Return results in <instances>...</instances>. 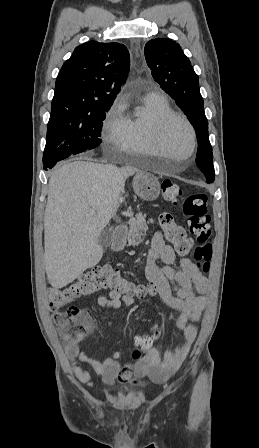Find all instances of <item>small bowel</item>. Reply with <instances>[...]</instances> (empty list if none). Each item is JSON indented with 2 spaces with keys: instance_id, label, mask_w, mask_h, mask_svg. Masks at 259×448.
I'll return each instance as SVG.
<instances>
[{
  "instance_id": "obj_1",
  "label": "small bowel",
  "mask_w": 259,
  "mask_h": 448,
  "mask_svg": "<svg viewBox=\"0 0 259 448\" xmlns=\"http://www.w3.org/2000/svg\"><path fill=\"white\" fill-rule=\"evenodd\" d=\"M157 260H161L164 266H157L155 263ZM175 260L176 250L165 242L161 232H157L149 250L146 275L160 298L180 313L177 327L183 332L184 342L178 347L168 349L163 356L158 349L151 348L141 360L128 365L120 364L116 357L97 360L81 351L77 345H68L66 355L72 361L74 373L79 381L82 383L91 381V375L83 370L79 363L91 367L101 377L106 387H112L116 382L143 385L138 380L141 377L164 382L180 368L197 336L195 322L198 321L206 305L208 280L191 259L182 258L178 269L173 267ZM133 303V296L129 295L110 294L108 297L100 296L97 299L100 307L113 309L121 307L128 309ZM151 330L161 334L157 324H154Z\"/></svg>"
}]
</instances>
